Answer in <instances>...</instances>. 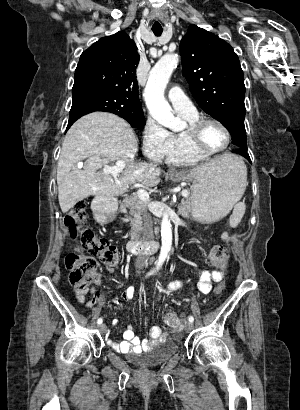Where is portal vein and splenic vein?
I'll list each match as a JSON object with an SVG mask.
<instances>
[{"label": "portal vein and splenic vein", "mask_w": 300, "mask_h": 410, "mask_svg": "<svg viewBox=\"0 0 300 410\" xmlns=\"http://www.w3.org/2000/svg\"><path fill=\"white\" fill-rule=\"evenodd\" d=\"M124 167H125L124 162H122V161H117L116 164H115V166L112 167V168H110L109 171H110L111 173H119ZM189 194H190V193H189L188 190H182V192H181V195H182L183 197H187V196H189ZM137 195H138L139 199H140L142 202H144V203L149 202V193H148L145 189H142V188L138 189Z\"/></svg>", "instance_id": "18ae733b"}]
</instances>
